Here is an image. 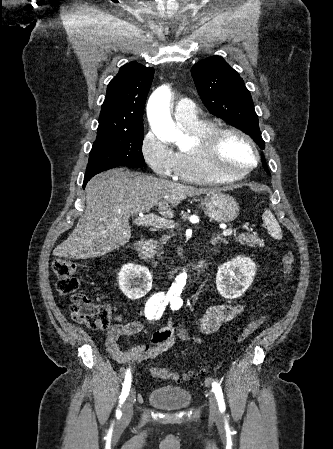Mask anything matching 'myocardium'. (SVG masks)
I'll list each match as a JSON object with an SVG mask.
<instances>
[{
  "label": "myocardium",
  "instance_id": "1",
  "mask_svg": "<svg viewBox=\"0 0 333 449\" xmlns=\"http://www.w3.org/2000/svg\"><path fill=\"white\" fill-rule=\"evenodd\" d=\"M228 136H236L245 141L252 149L255 160L239 173L222 170L218 166L221 144ZM197 148L206 170L215 178L225 182L240 181L246 178L259 164L260 152L254 140L245 132L234 127H214L196 141Z\"/></svg>",
  "mask_w": 333,
  "mask_h": 449
}]
</instances>
